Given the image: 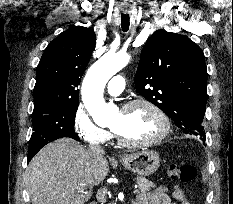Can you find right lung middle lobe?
I'll list each match as a JSON object with an SVG mask.
<instances>
[{"label":"right lung middle lobe","mask_w":233,"mask_h":204,"mask_svg":"<svg viewBox=\"0 0 233 204\" xmlns=\"http://www.w3.org/2000/svg\"><path fill=\"white\" fill-rule=\"evenodd\" d=\"M78 103L46 106L33 111L29 148H42L48 142L62 137L79 140L74 131Z\"/></svg>","instance_id":"1"}]
</instances>
